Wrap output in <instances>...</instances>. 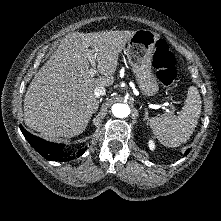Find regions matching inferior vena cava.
<instances>
[{
	"instance_id": "1",
	"label": "inferior vena cava",
	"mask_w": 221,
	"mask_h": 221,
	"mask_svg": "<svg viewBox=\"0 0 221 221\" xmlns=\"http://www.w3.org/2000/svg\"><path fill=\"white\" fill-rule=\"evenodd\" d=\"M105 94H106V90L102 86L96 87L95 90H94L95 97H100V96H103Z\"/></svg>"
}]
</instances>
